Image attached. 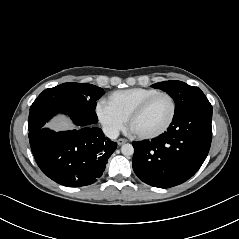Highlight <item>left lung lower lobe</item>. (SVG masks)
Returning a JSON list of instances; mask_svg holds the SVG:
<instances>
[{
  "label": "left lung lower lobe",
  "mask_w": 239,
  "mask_h": 239,
  "mask_svg": "<svg viewBox=\"0 0 239 239\" xmlns=\"http://www.w3.org/2000/svg\"><path fill=\"white\" fill-rule=\"evenodd\" d=\"M212 106L175 116L167 131L149 141L133 142L132 166L148 185L170 188L192 177L206 159L212 140Z\"/></svg>",
  "instance_id": "left-lung-lower-lobe-1"
}]
</instances>
